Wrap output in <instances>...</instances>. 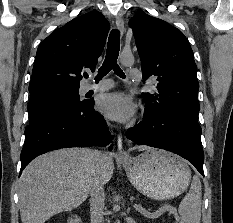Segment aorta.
<instances>
[{"label":"aorta","instance_id":"obj_1","mask_svg":"<svg viewBox=\"0 0 233 223\" xmlns=\"http://www.w3.org/2000/svg\"><path fill=\"white\" fill-rule=\"evenodd\" d=\"M120 62L123 66H133L134 64V56H120Z\"/></svg>","mask_w":233,"mask_h":223}]
</instances>
